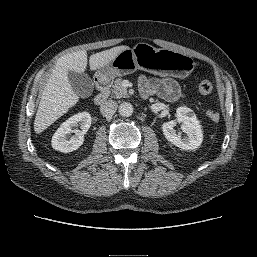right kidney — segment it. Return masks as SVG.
Here are the masks:
<instances>
[{"instance_id":"obj_1","label":"right kidney","mask_w":257,"mask_h":257,"mask_svg":"<svg viewBox=\"0 0 257 257\" xmlns=\"http://www.w3.org/2000/svg\"><path fill=\"white\" fill-rule=\"evenodd\" d=\"M90 125L91 116L88 112H81L68 118L52 136V148L63 153L77 150L83 144L84 134ZM78 126L81 130H74L75 135L69 138L68 134L73 132L72 128Z\"/></svg>"}]
</instances>
